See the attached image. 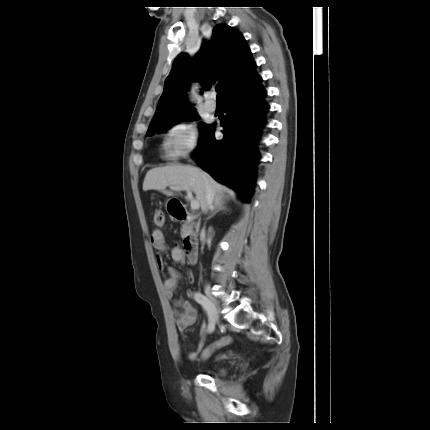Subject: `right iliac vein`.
Instances as JSON below:
<instances>
[{
    "label": "right iliac vein",
    "mask_w": 430,
    "mask_h": 430,
    "mask_svg": "<svg viewBox=\"0 0 430 430\" xmlns=\"http://www.w3.org/2000/svg\"><path fill=\"white\" fill-rule=\"evenodd\" d=\"M204 291L209 300V309H210L211 318L214 321V323H216L219 320V315H218V310L215 303V297L212 293V290L209 284H205Z\"/></svg>",
    "instance_id": "obj_1"
}]
</instances>
